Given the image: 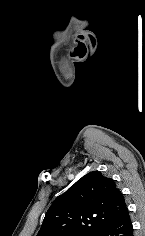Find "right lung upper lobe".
Masks as SVG:
<instances>
[{
  "label": "right lung upper lobe",
  "instance_id": "right-lung-upper-lobe-1",
  "mask_svg": "<svg viewBox=\"0 0 145 236\" xmlns=\"http://www.w3.org/2000/svg\"><path fill=\"white\" fill-rule=\"evenodd\" d=\"M125 209L115 182L93 171L54 201L37 236H95Z\"/></svg>",
  "mask_w": 145,
  "mask_h": 236
}]
</instances>
